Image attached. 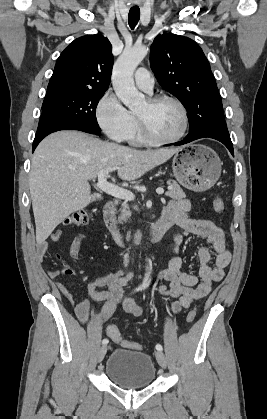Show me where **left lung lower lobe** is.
Masks as SVG:
<instances>
[{
	"label": "left lung lower lobe",
	"mask_w": 267,
	"mask_h": 419,
	"mask_svg": "<svg viewBox=\"0 0 267 419\" xmlns=\"http://www.w3.org/2000/svg\"><path fill=\"white\" fill-rule=\"evenodd\" d=\"M209 122L210 118H200L199 120L194 121L190 126L188 135L181 142H176L174 145H183L200 138L208 137L222 142L228 148L231 154L234 155L233 144L231 142L228 130H224L219 133H213Z\"/></svg>",
	"instance_id": "1"
}]
</instances>
